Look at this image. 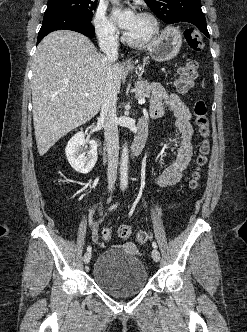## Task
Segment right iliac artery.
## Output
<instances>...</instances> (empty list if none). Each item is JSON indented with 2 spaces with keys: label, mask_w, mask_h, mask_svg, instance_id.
<instances>
[{
  "label": "right iliac artery",
  "mask_w": 247,
  "mask_h": 332,
  "mask_svg": "<svg viewBox=\"0 0 247 332\" xmlns=\"http://www.w3.org/2000/svg\"><path fill=\"white\" fill-rule=\"evenodd\" d=\"M116 206H117L116 204L112 205V206L109 208V210L114 209ZM91 250H92L91 246H88V247H87V251H88V252H91Z\"/></svg>",
  "instance_id": "right-iliac-artery-1"
}]
</instances>
